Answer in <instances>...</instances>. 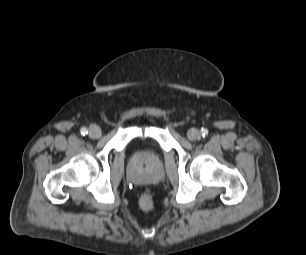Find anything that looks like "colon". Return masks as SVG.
Segmentation results:
<instances>
[{
    "label": "colon",
    "instance_id": "obj_1",
    "mask_svg": "<svg viewBox=\"0 0 306 255\" xmlns=\"http://www.w3.org/2000/svg\"><path fill=\"white\" fill-rule=\"evenodd\" d=\"M139 205L144 211H151L154 208L152 195L149 191H145L139 198Z\"/></svg>",
    "mask_w": 306,
    "mask_h": 255
}]
</instances>
